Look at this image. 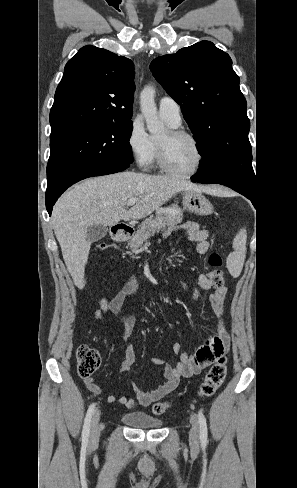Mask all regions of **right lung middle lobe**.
Here are the masks:
<instances>
[{"label": "right lung middle lobe", "instance_id": "dd1d6c3e", "mask_svg": "<svg viewBox=\"0 0 297 488\" xmlns=\"http://www.w3.org/2000/svg\"><path fill=\"white\" fill-rule=\"evenodd\" d=\"M132 121L80 125L50 135L47 191L94 166L131 164Z\"/></svg>", "mask_w": 297, "mask_h": 488}]
</instances>
